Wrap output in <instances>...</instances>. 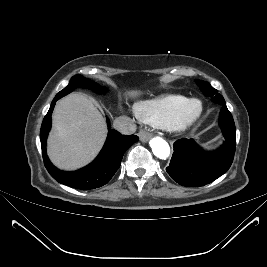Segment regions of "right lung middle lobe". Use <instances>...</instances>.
<instances>
[{"label":"right lung middle lobe","mask_w":267,"mask_h":267,"mask_svg":"<svg viewBox=\"0 0 267 267\" xmlns=\"http://www.w3.org/2000/svg\"><path fill=\"white\" fill-rule=\"evenodd\" d=\"M76 87H86L89 89H93L96 92H101L103 90H100L97 84H95L93 81L84 78L81 75H75L71 78L70 83L68 86H66L63 90H61L56 97L61 98L70 92H72Z\"/></svg>","instance_id":"obj_1"}]
</instances>
